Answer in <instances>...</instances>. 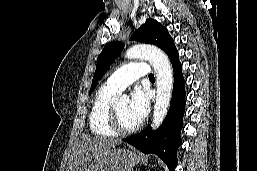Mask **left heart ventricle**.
I'll use <instances>...</instances> for the list:
<instances>
[{"label": "left heart ventricle", "instance_id": "1", "mask_svg": "<svg viewBox=\"0 0 257 171\" xmlns=\"http://www.w3.org/2000/svg\"><path fill=\"white\" fill-rule=\"evenodd\" d=\"M115 106L118 111L120 121L125 127H132L138 123L129 112L128 102H119L116 103Z\"/></svg>", "mask_w": 257, "mask_h": 171}]
</instances>
